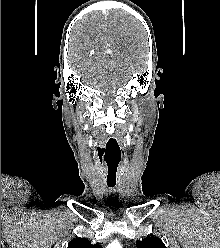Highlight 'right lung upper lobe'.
<instances>
[{"label": "right lung upper lobe", "mask_w": 220, "mask_h": 248, "mask_svg": "<svg viewBox=\"0 0 220 248\" xmlns=\"http://www.w3.org/2000/svg\"><path fill=\"white\" fill-rule=\"evenodd\" d=\"M68 248H101V247L99 244H94V245L91 244V242L85 238H77L69 242Z\"/></svg>", "instance_id": "right-lung-upper-lobe-1"}]
</instances>
